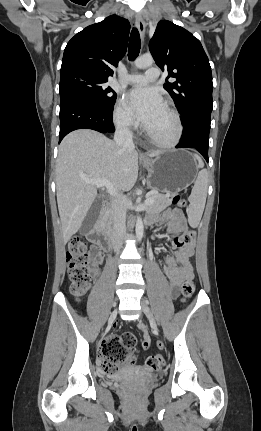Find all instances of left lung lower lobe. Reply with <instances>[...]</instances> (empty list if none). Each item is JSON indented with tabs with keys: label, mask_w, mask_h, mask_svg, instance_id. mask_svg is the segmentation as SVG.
I'll return each mask as SVG.
<instances>
[{
	"label": "left lung lower lobe",
	"mask_w": 261,
	"mask_h": 431,
	"mask_svg": "<svg viewBox=\"0 0 261 431\" xmlns=\"http://www.w3.org/2000/svg\"><path fill=\"white\" fill-rule=\"evenodd\" d=\"M211 123V113L200 112L183 124V134L176 148H194L209 161L208 146Z\"/></svg>",
	"instance_id": "1"
}]
</instances>
